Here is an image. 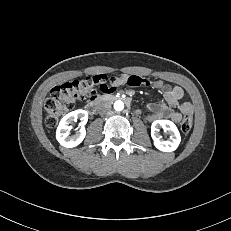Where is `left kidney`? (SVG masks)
Here are the masks:
<instances>
[{
	"mask_svg": "<svg viewBox=\"0 0 231 231\" xmlns=\"http://www.w3.org/2000/svg\"><path fill=\"white\" fill-rule=\"evenodd\" d=\"M159 128H163L170 135V140H161ZM151 136L157 149L163 152H172L180 144L181 137L178 128L170 120H156L151 125Z\"/></svg>",
	"mask_w": 231,
	"mask_h": 231,
	"instance_id": "1",
	"label": "left kidney"
}]
</instances>
